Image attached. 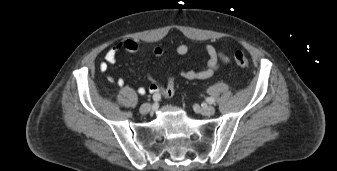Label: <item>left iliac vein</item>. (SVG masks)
<instances>
[{"label":"left iliac vein","instance_id":"1","mask_svg":"<svg viewBox=\"0 0 337 171\" xmlns=\"http://www.w3.org/2000/svg\"><path fill=\"white\" fill-rule=\"evenodd\" d=\"M197 110L205 116H211L215 113V108L212 106L197 107Z\"/></svg>","mask_w":337,"mask_h":171}]
</instances>
